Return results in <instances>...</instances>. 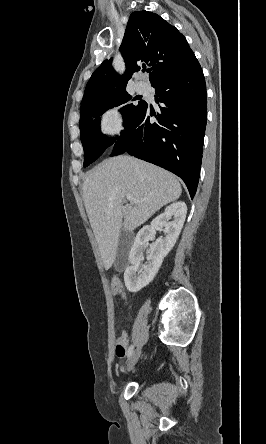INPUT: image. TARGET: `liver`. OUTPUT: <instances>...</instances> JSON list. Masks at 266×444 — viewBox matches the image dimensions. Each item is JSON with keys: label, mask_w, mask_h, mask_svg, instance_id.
<instances>
[{"label": "liver", "mask_w": 266, "mask_h": 444, "mask_svg": "<svg viewBox=\"0 0 266 444\" xmlns=\"http://www.w3.org/2000/svg\"><path fill=\"white\" fill-rule=\"evenodd\" d=\"M181 192L170 172L126 155L105 160L90 173L83 200L106 270L116 259L121 230L133 231ZM127 195L139 202L124 205Z\"/></svg>", "instance_id": "liver-1"}]
</instances>
